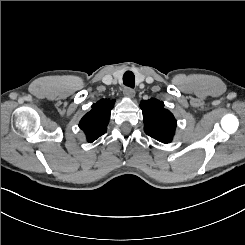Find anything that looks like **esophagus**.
I'll return each instance as SVG.
<instances>
[{"mask_svg": "<svg viewBox=\"0 0 245 245\" xmlns=\"http://www.w3.org/2000/svg\"><path fill=\"white\" fill-rule=\"evenodd\" d=\"M123 94L127 97L133 98L135 96V91L130 87H125L123 90Z\"/></svg>", "mask_w": 245, "mask_h": 245, "instance_id": "34e87169", "label": "esophagus"}]
</instances>
